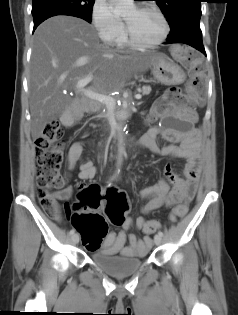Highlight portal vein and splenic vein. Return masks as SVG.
I'll use <instances>...</instances> for the list:
<instances>
[{
	"instance_id": "18ae733b",
	"label": "portal vein and splenic vein",
	"mask_w": 238,
	"mask_h": 315,
	"mask_svg": "<svg viewBox=\"0 0 238 315\" xmlns=\"http://www.w3.org/2000/svg\"><path fill=\"white\" fill-rule=\"evenodd\" d=\"M93 76L89 75L84 79H81L77 82L76 87L79 91H81L86 97L98 101H104L106 105H112L115 103V99L104 94L95 93L89 89H85V86L92 80ZM136 99H141L142 96L140 94L135 95Z\"/></svg>"
}]
</instances>
